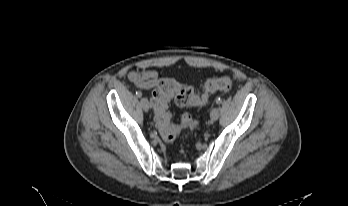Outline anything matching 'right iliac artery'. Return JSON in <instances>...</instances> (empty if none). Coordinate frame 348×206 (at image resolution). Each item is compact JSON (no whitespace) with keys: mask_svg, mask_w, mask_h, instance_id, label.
Listing matches in <instances>:
<instances>
[{"mask_svg":"<svg viewBox=\"0 0 348 206\" xmlns=\"http://www.w3.org/2000/svg\"><path fill=\"white\" fill-rule=\"evenodd\" d=\"M136 96L140 98L142 96V92L141 91H137L136 92Z\"/></svg>","mask_w":348,"mask_h":206,"instance_id":"1","label":"right iliac artery"}]
</instances>
